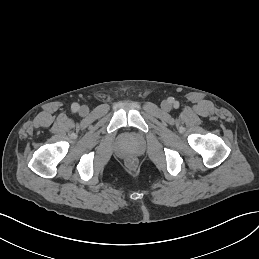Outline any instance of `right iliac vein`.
Here are the masks:
<instances>
[{
  "label": "right iliac vein",
  "instance_id": "right-iliac-vein-1",
  "mask_svg": "<svg viewBox=\"0 0 259 259\" xmlns=\"http://www.w3.org/2000/svg\"><path fill=\"white\" fill-rule=\"evenodd\" d=\"M88 112H89V108H88L86 105L81 106L80 109H79V113H80L82 116L87 115Z\"/></svg>",
  "mask_w": 259,
  "mask_h": 259
}]
</instances>
